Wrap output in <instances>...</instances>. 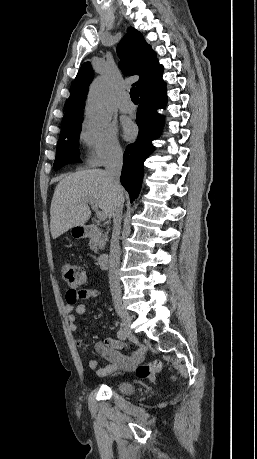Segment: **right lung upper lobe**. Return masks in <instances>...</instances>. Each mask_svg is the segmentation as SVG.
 <instances>
[{
	"mask_svg": "<svg viewBox=\"0 0 257 459\" xmlns=\"http://www.w3.org/2000/svg\"><path fill=\"white\" fill-rule=\"evenodd\" d=\"M117 53L121 58L120 67L123 73L140 76L139 81L134 84L138 87L139 93L162 76L163 67L158 63L155 52L151 50L142 34L133 27L127 29V34L117 46ZM93 77L90 62L84 63L74 80L66 103L61 133L82 123L83 105Z\"/></svg>",
	"mask_w": 257,
	"mask_h": 459,
	"instance_id": "1",
	"label": "right lung upper lobe"
}]
</instances>
